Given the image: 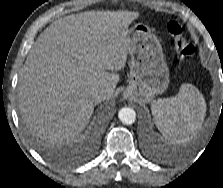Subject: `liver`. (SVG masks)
Wrapping results in <instances>:
<instances>
[{
	"instance_id": "obj_1",
	"label": "liver",
	"mask_w": 223,
	"mask_h": 188,
	"mask_svg": "<svg viewBox=\"0 0 223 188\" xmlns=\"http://www.w3.org/2000/svg\"><path fill=\"white\" fill-rule=\"evenodd\" d=\"M130 11H87L51 23L31 47L18 81L21 117L50 144H70L94 111L91 93L110 99L128 54ZM111 71V73L109 72Z\"/></svg>"
}]
</instances>
